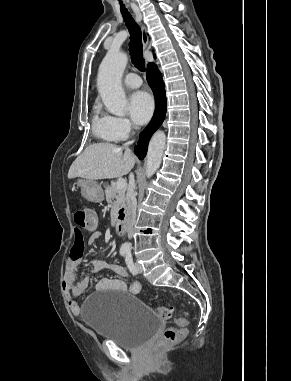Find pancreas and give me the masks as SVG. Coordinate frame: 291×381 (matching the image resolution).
Listing matches in <instances>:
<instances>
[{
  "instance_id": "pancreas-1",
  "label": "pancreas",
  "mask_w": 291,
  "mask_h": 381,
  "mask_svg": "<svg viewBox=\"0 0 291 381\" xmlns=\"http://www.w3.org/2000/svg\"><path fill=\"white\" fill-rule=\"evenodd\" d=\"M106 200L111 207V222L117 221L118 210L125 202V190L117 189L116 185H111L105 189Z\"/></svg>"
}]
</instances>
